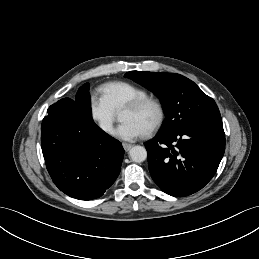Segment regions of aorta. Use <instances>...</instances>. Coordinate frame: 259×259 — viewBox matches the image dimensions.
<instances>
[{
  "mask_svg": "<svg viewBox=\"0 0 259 259\" xmlns=\"http://www.w3.org/2000/svg\"><path fill=\"white\" fill-rule=\"evenodd\" d=\"M131 161L141 163L147 158V151L143 146H134L129 151Z\"/></svg>",
  "mask_w": 259,
  "mask_h": 259,
  "instance_id": "aorta-1",
  "label": "aorta"
}]
</instances>
